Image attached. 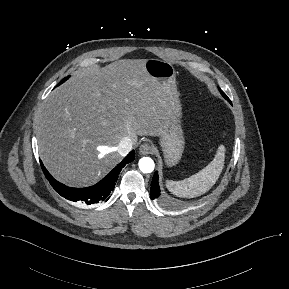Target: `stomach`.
<instances>
[{"instance_id":"0dacf381","label":"stomach","mask_w":289,"mask_h":289,"mask_svg":"<svg viewBox=\"0 0 289 289\" xmlns=\"http://www.w3.org/2000/svg\"><path fill=\"white\" fill-rule=\"evenodd\" d=\"M145 68L151 78L165 91L171 104L170 121L160 137V145L164 152L165 163L174 166L180 161L185 144L179 124L182 108L177 91L175 69L172 63L155 58L146 59Z\"/></svg>"}]
</instances>
